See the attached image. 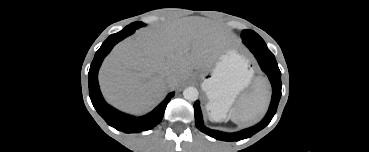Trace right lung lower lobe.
<instances>
[{"mask_svg":"<svg viewBox=\"0 0 369 152\" xmlns=\"http://www.w3.org/2000/svg\"><path fill=\"white\" fill-rule=\"evenodd\" d=\"M136 29V27L125 28L116 34L110 35L96 52L88 74L89 95L94 108L110 126L125 133H137L155 127L161 122L166 106L174 95L173 92L168 94L165 100L158 107L142 117H133L123 114L109 106L104 101L99 89L97 78L100 65L113 46L125 37L134 33Z\"/></svg>","mask_w":369,"mask_h":152,"instance_id":"right-lung-lower-lobe-1","label":"right lung lower lobe"}]
</instances>
